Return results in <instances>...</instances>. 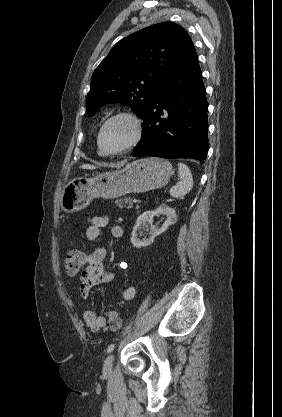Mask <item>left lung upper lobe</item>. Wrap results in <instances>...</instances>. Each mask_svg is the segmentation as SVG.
<instances>
[{"instance_id": "left-lung-upper-lobe-1", "label": "left lung upper lobe", "mask_w": 282, "mask_h": 417, "mask_svg": "<svg viewBox=\"0 0 282 417\" xmlns=\"http://www.w3.org/2000/svg\"><path fill=\"white\" fill-rule=\"evenodd\" d=\"M191 44L185 30L172 22L149 26L119 41L91 78L89 116L106 103L122 102L143 119L164 76Z\"/></svg>"}]
</instances>
